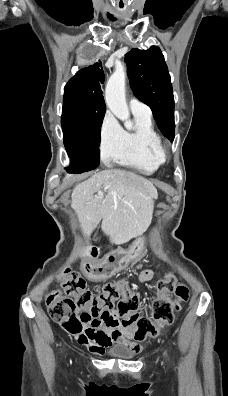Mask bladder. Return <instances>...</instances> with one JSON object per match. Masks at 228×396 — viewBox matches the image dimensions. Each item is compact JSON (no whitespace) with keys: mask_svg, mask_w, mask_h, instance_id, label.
<instances>
[{"mask_svg":"<svg viewBox=\"0 0 228 396\" xmlns=\"http://www.w3.org/2000/svg\"><path fill=\"white\" fill-rule=\"evenodd\" d=\"M108 354L115 358L131 359L135 356V351L126 345L113 346L108 350Z\"/></svg>","mask_w":228,"mask_h":396,"instance_id":"31cf9c89","label":"bladder"}]
</instances>
